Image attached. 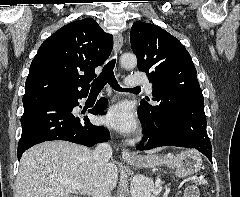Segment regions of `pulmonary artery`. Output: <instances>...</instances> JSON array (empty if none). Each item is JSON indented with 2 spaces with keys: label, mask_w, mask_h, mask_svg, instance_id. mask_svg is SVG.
Wrapping results in <instances>:
<instances>
[{
  "label": "pulmonary artery",
  "mask_w": 240,
  "mask_h": 197,
  "mask_svg": "<svg viewBox=\"0 0 240 197\" xmlns=\"http://www.w3.org/2000/svg\"><path fill=\"white\" fill-rule=\"evenodd\" d=\"M138 84H144L145 89L147 92L152 91V84L149 83L148 81H145L141 79V74L140 72H135L129 75L128 80H127V86L128 87H134Z\"/></svg>",
  "instance_id": "1"
}]
</instances>
